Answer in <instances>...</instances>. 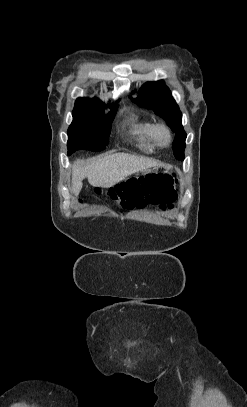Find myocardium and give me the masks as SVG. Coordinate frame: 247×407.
Here are the masks:
<instances>
[{
  "instance_id": "f54148a6",
  "label": "myocardium",
  "mask_w": 247,
  "mask_h": 407,
  "mask_svg": "<svg viewBox=\"0 0 247 407\" xmlns=\"http://www.w3.org/2000/svg\"><path fill=\"white\" fill-rule=\"evenodd\" d=\"M154 139L160 147H167L172 141V131L165 123H158L154 128Z\"/></svg>"
}]
</instances>
